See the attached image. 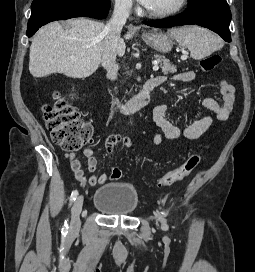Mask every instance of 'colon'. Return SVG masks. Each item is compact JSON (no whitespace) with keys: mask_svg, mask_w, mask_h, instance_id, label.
<instances>
[{"mask_svg":"<svg viewBox=\"0 0 255 272\" xmlns=\"http://www.w3.org/2000/svg\"><path fill=\"white\" fill-rule=\"evenodd\" d=\"M221 62L219 54H211L202 58L201 69L204 72L214 70ZM43 119L50 132L54 143L66 151H77L84 145L91 143L93 137V127L82 120L78 111L58 94L54 95V102L43 106ZM202 153L200 151L192 153L179 167L162 175L158 186H167L181 181L190 175L200 164ZM121 170L112 168L111 178L119 179Z\"/></svg>","mask_w":255,"mask_h":272,"instance_id":"5ec220e1","label":"colon"}]
</instances>
